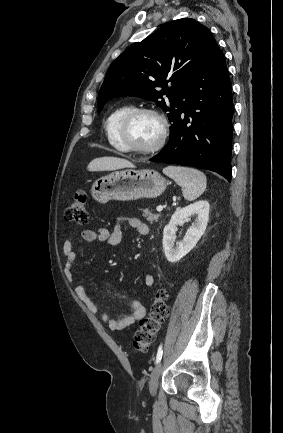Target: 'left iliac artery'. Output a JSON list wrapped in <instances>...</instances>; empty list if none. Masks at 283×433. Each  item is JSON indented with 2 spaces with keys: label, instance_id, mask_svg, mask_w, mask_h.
Listing matches in <instances>:
<instances>
[{
  "label": "left iliac artery",
  "instance_id": "44dca946",
  "mask_svg": "<svg viewBox=\"0 0 283 433\" xmlns=\"http://www.w3.org/2000/svg\"><path fill=\"white\" fill-rule=\"evenodd\" d=\"M162 354H163L162 345H160L156 356V361H155L156 364H158L161 361Z\"/></svg>",
  "mask_w": 283,
  "mask_h": 433
}]
</instances>
